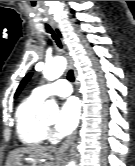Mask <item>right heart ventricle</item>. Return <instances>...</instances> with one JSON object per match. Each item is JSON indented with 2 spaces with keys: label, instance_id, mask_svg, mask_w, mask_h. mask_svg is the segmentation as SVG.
Returning <instances> with one entry per match:
<instances>
[{
  "label": "right heart ventricle",
  "instance_id": "obj_1",
  "mask_svg": "<svg viewBox=\"0 0 135 166\" xmlns=\"http://www.w3.org/2000/svg\"><path fill=\"white\" fill-rule=\"evenodd\" d=\"M42 103L43 99L31 94L22 100L16 109V132L20 142L25 146H41L48 137V131L38 116Z\"/></svg>",
  "mask_w": 135,
  "mask_h": 166
}]
</instances>
